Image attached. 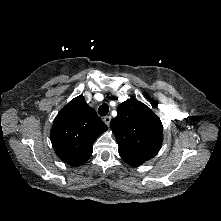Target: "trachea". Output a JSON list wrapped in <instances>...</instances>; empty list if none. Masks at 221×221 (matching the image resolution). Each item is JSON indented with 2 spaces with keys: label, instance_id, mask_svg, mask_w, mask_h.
Returning <instances> with one entry per match:
<instances>
[{
  "label": "trachea",
  "instance_id": "trachea-1",
  "mask_svg": "<svg viewBox=\"0 0 221 221\" xmlns=\"http://www.w3.org/2000/svg\"><path fill=\"white\" fill-rule=\"evenodd\" d=\"M109 112V107L106 103L102 104L98 109V114L100 116H106Z\"/></svg>",
  "mask_w": 221,
  "mask_h": 221
}]
</instances>
